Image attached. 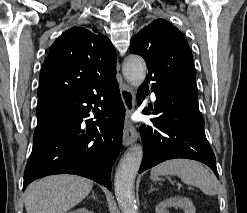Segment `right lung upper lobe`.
<instances>
[{"instance_id": "obj_1", "label": "right lung upper lobe", "mask_w": 247, "mask_h": 213, "mask_svg": "<svg viewBox=\"0 0 247 213\" xmlns=\"http://www.w3.org/2000/svg\"><path fill=\"white\" fill-rule=\"evenodd\" d=\"M116 75V51L96 28L73 27L52 45L39 77L38 104L63 93L88 92Z\"/></svg>"}]
</instances>
